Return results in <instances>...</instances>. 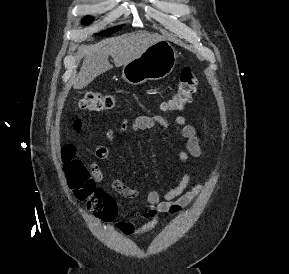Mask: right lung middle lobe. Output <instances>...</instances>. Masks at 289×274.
<instances>
[{
	"instance_id": "1",
	"label": "right lung middle lobe",
	"mask_w": 289,
	"mask_h": 274,
	"mask_svg": "<svg viewBox=\"0 0 289 274\" xmlns=\"http://www.w3.org/2000/svg\"><path fill=\"white\" fill-rule=\"evenodd\" d=\"M84 20H85V21H84V24L87 25V24L90 23V21L92 20V18H91V17H86ZM120 28H121V26L114 27V28L110 29L109 31L100 33L99 35L108 36V35H110L111 33H114V32H116V31H118Z\"/></svg>"
}]
</instances>
